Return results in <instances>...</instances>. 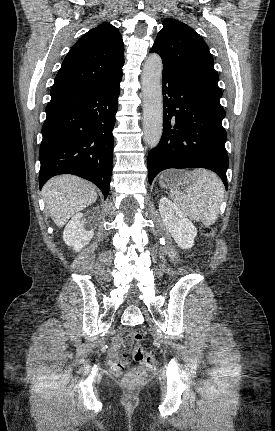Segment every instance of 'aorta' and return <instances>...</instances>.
<instances>
[{
    "mask_svg": "<svg viewBox=\"0 0 275 431\" xmlns=\"http://www.w3.org/2000/svg\"><path fill=\"white\" fill-rule=\"evenodd\" d=\"M161 57L152 53L145 61L142 73L143 132L145 143L154 148L158 145L163 129Z\"/></svg>",
    "mask_w": 275,
    "mask_h": 431,
    "instance_id": "762f6f07",
    "label": "aorta"
}]
</instances>
